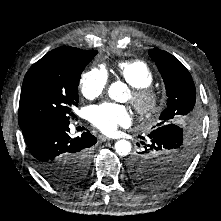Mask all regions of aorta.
<instances>
[{"label": "aorta", "mask_w": 221, "mask_h": 221, "mask_svg": "<svg viewBox=\"0 0 221 221\" xmlns=\"http://www.w3.org/2000/svg\"><path fill=\"white\" fill-rule=\"evenodd\" d=\"M123 92V83L115 82L111 84L108 94L112 99L117 100ZM115 151L120 156H126L131 151V143L125 139L118 140L115 143Z\"/></svg>", "instance_id": "obj_1"}]
</instances>
